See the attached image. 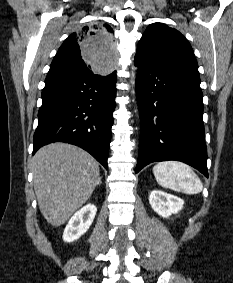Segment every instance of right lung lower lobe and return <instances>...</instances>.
<instances>
[{
    "label": "right lung lower lobe",
    "mask_w": 233,
    "mask_h": 283,
    "mask_svg": "<svg viewBox=\"0 0 233 283\" xmlns=\"http://www.w3.org/2000/svg\"><path fill=\"white\" fill-rule=\"evenodd\" d=\"M115 85L116 71L47 77L33 154L46 144L66 142L83 148L107 169Z\"/></svg>",
    "instance_id": "98d812e1"
}]
</instances>
